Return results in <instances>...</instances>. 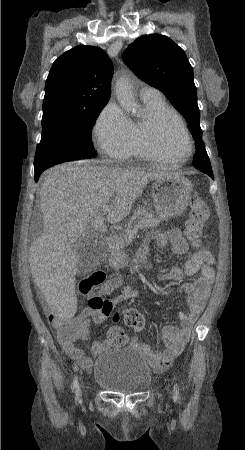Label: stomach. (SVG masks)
I'll use <instances>...</instances> for the list:
<instances>
[{"instance_id": "stomach-1", "label": "stomach", "mask_w": 245, "mask_h": 450, "mask_svg": "<svg viewBox=\"0 0 245 450\" xmlns=\"http://www.w3.org/2000/svg\"><path fill=\"white\" fill-rule=\"evenodd\" d=\"M193 191L191 181L181 175L158 177L152 183V198L156 214L161 220H169L181 215L186 209ZM115 267H125L127 256L121 249H115L110 255Z\"/></svg>"}]
</instances>
